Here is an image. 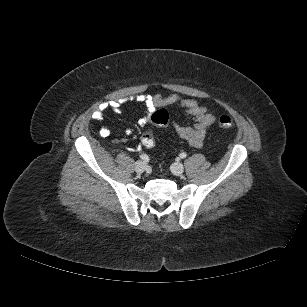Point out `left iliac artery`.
I'll use <instances>...</instances> for the list:
<instances>
[{
    "instance_id": "obj_1",
    "label": "left iliac artery",
    "mask_w": 307,
    "mask_h": 307,
    "mask_svg": "<svg viewBox=\"0 0 307 307\" xmlns=\"http://www.w3.org/2000/svg\"><path fill=\"white\" fill-rule=\"evenodd\" d=\"M179 156H180V158L184 159V158L187 157V154H186L185 152H183V153H181Z\"/></svg>"
}]
</instances>
